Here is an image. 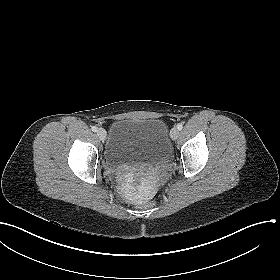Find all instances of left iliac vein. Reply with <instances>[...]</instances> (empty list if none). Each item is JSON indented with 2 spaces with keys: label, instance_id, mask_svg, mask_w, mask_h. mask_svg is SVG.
Instances as JSON below:
<instances>
[{
  "label": "left iliac vein",
  "instance_id": "left-iliac-vein-1",
  "mask_svg": "<svg viewBox=\"0 0 280 280\" xmlns=\"http://www.w3.org/2000/svg\"><path fill=\"white\" fill-rule=\"evenodd\" d=\"M179 135V130L177 127H173L170 131V137L172 140H176L178 138Z\"/></svg>",
  "mask_w": 280,
  "mask_h": 280
}]
</instances>
